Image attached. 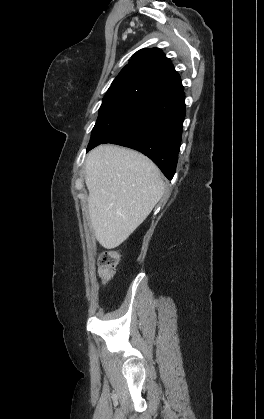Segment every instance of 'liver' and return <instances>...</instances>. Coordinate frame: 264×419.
<instances>
[{
    "mask_svg": "<svg viewBox=\"0 0 264 419\" xmlns=\"http://www.w3.org/2000/svg\"><path fill=\"white\" fill-rule=\"evenodd\" d=\"M85 165L91 228L101 246L116 248L163 196L160 170L143 154L114 145L94 148Z\"/></svg>",
    "mask_w": 264,
    "mask_h": 419,
    "instance_id": "1",
    "label": "liver"
}]
</instances>
